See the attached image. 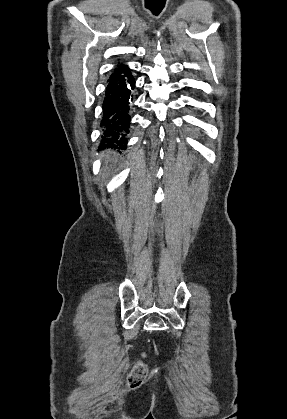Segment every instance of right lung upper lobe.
I'll list each match as a JSON object with an SVG mask.
<instances>
[{
	"instance_id": "obj_1",
	"label": "right lung upper lobe",
	"mask_w": 287,
	"mask_h": 419,
	"mask_svg": "<svg viewBox=\"0 0 287 419\" xmlns=\"http://www.w3.org/2000/svg\"><path fill=\"white\" fill-rule=\"evenodd\" d=\"M128 68H126V66H121V67H119V68H117V69H115L114 70V73H112L111 74V76H113L114 74H117V73H121V72H123V71H125V70H127Z\"/></svg>"
}]
</instances>
